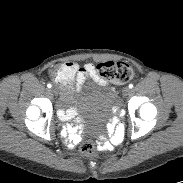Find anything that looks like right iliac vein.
<instances>
[{
  "label": "right iliac vein",
  "instance_id": "1",
  "mask_svg": "<svg viewBox=\"0 0 183 183\" xmlns=\"http://www.w3.org/2000/svg\"><path fill=\"white\" fill-rule=\"evenodd\" d=\"M50 91H51L53 94H55V95L57 94V90H56V88H54V87H53Z\"/></svg>",
  "mask_w": 183,
  "mask_h": 183
}]
</instances>
